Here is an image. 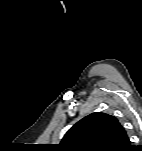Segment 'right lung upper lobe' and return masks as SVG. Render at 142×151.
Segmentation results:
<instances>
[{"instance_id": "cb5924a9", "label": "right lung upper lobe", "mask_w": 142, "mask_h": 151, "mask_svg": "<svg viewBox=\"0 0 142 151\" xmlns=\"http://www.w3.org/2000/svg\"><path fill=\"white\" fill-rule=\"evenodd\" d=\"M59 151H130L129 137L112 115L92 113L77 122L64 135Z\"/></svg>"}]
</instances>
